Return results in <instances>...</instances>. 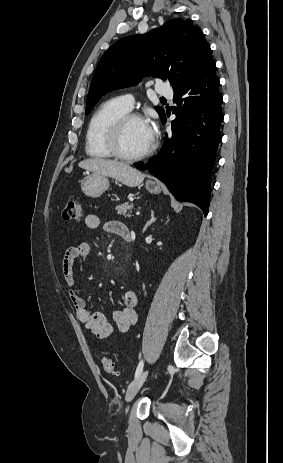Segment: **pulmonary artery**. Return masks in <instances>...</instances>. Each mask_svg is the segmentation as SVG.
I'll return each mask as SVG.
<instances>
[{
	"label": "pulmonary artery",
	"mask_w": 283,
	"mask_h": 463,
	"mask_svg": "<svg viewBox=\"0 0 283 463\" xmlns=\"http://www.w3.org/2000/svg\"><path fill=\"white\" fill-rule=\"evenodd\" d=\"M156 92L157 94L162 97V98H168V99H172L173 98V90L163 84H160V85H157L156 86ZM123 105L131 110L133 108V105H134V97L130 94H127V95H123L120 97Z\"/></svg>",
	"instance_id": "pulmonary-artery-1"
}]
</instances>
